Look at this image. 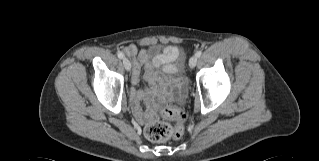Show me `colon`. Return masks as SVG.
Instances as JSON below:
<instances>
[{
  "label": "colon",
  "mask_w": 319,
  "mask_h": 161,
  "mask_svg": "<svg viewBox=\"0 0 319 161\" xmlns=\"http://www.w3.org/2000/svg\"><path fill=\"white\" fill-rule=\"evenodd\" d=\"M161 116L165 121L148 125L145 129L146 137L152 142L179 139L184 133L185 114L175 107H166L161 110ZM166 121H173L175 126Z\"/></svg>",
  "instance_id": "obj_1"
}]
</instances>
